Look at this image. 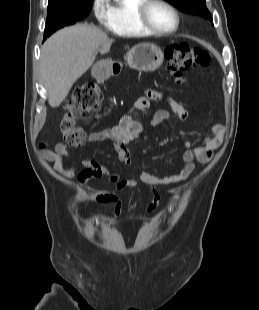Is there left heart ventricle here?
<instances>
[{
  "mask_svg": "<svg viewBox=\"0 0 259 310\" xmlns=\"http://www.w3.org/2000/svg\"><path fill=\"white\" fill-rule=\"evenodd\" d=\"M148 18L153 26L160 30H170L175 27L174 14L161 4H153L148 11Z\"/></svg>",
  "mask_w": 259,
  "mask_h": 310,
  "instance_id": "left-heart-ventricle-1",
  "label": "left heart ventricle"
}]
</instances>
